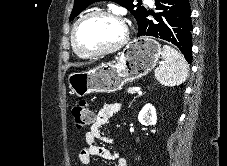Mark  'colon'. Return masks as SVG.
Masks as SVG:
<instances>
[{
    "label": "colon",
    "instance_id": "5ec220e1",
    "mask_svg": "<svg viewBox=\"0 0 227 166\" xmlns=\"http://www.w3.org/2000/svg\"><path fill=\"white\" fill-rule=\"evenodd\" d=\"M72 118L74 126L77 129H83L92 123L94 114L86 100L80 99L74 104Z\"/></svg>",
    "mask_w": 227,
    "mask_h": 166
}]
</instances>
